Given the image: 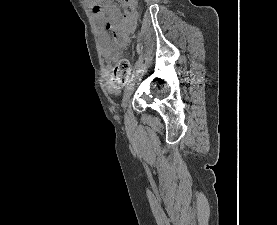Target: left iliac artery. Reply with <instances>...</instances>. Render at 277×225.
<instances>
[{"label": "left iliac artery", "instance_id": "1", "mask_svg": "<svg viewBox=\"0 0 277 225\" xmlns=\"http://www.w3.org/2000/svg\"><path fill=\"white\" fill-rule=\"evenodd\" d=\"M142 59H143V57L141 55L140 58H139L138 64H137V68L134 71L133 75H137V74H139L142 71V66H141Z\"/></svg>", "mask_w": 277, "mask_h": 225}]
</instances>
